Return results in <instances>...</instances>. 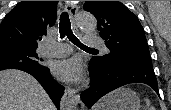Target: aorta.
<instances>
[{
  "instance_id": "obj_1",
  "label": "aorta",
  "mask_w": 171,
  "mask_h": 110,
  "mask_svg": "<svg viewBox=\"0 0 171 110\" xmlns=\"http://www.w3.org/2000/svg\"><path fill=\"white\" fill-rule=\"evenodd\" d=\"M76 25L83 32H92L97 27V20L92 14L83 12L77 15Z\"/></svg>"
}]
</instances>
